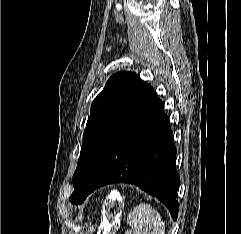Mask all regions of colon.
Returning <instances> with one entry per match:
<instances>
[{
  "mask_svg": "<svg viewBox=\"0 0 241 234\" xmlns=\"http://www.w3.org/2000/svg\"><path fill=\"white\" fill-rule=\"evenodd\" d=\"M122 203L118 193L113 192L105 202L104 212L108 219V223L115 220L116 216L121 212ZM105 228L102 229V232ZM106 233V232H105Z\"/></svg>",
  "mask_w": 241,
  "mask_h": 234,
  "instance_id": "obj_1",
  "label": "colon"
}]
</instances>
